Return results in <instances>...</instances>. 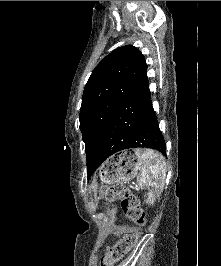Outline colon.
<instances>
[{"mask_svg": "<svg viewBox=\"0 0 221 266\" xmlns=\"http://www.w3.org/2000/svg\"><path fill=\"white\" fill-rule=\"evenodd\" d=\"M101 197L113 202L120 200V207L126 219L142 228L146 225V216L143 209L139 206L136 197L125 191L121 184L113 186H105L100 189ZM138 232H131L125 234L116 244L107 250L102 258V266H111L113 263L119 261L136 243L138 239Z\"/></svg>", "mask_w": 221, "mask_h": 266, "instance_id": "1", "label": "colon"}]
</instances>
